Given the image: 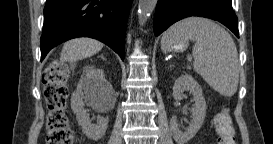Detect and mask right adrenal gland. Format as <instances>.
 I'll list each match as a JSON object with an SVG mask.
<instances>
[{"label": "right adrenal gland", "mask_w": 273, "mask_h": 144, "mask_svg": "<svg viewBox=\"0 0 273 144\" xmlns=\"http://www.w3.org/2000/svg\"><path fill=\"white\" fill-rule=\"evenodd\" d=\"M102 59H105V57L103 56V54L100 56Z\"/></svg>", "instance_id": "obj_1"}]
</instances>
